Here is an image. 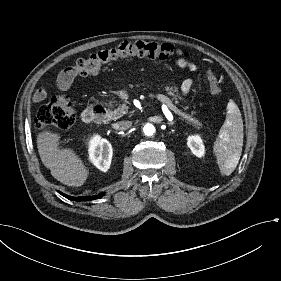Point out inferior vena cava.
<instances>
[{"instance_id": "1", "label": "inferior vena cava", "mask_w": 281, "mask_h": 281, "mask_svg": "<svg viewBox=\"0 0 281 281\" xmlns=\"http://www.w3.org/2000/svg\"><path fill=\"white\" fill-rule=\"evenodd\" d=\"M118 125V130H127L131 127V122L130 121H120L117 123Z\"/></svg>"}]
</instances>
